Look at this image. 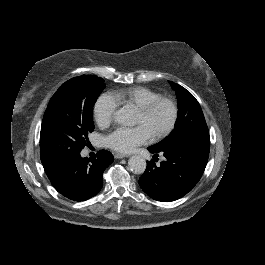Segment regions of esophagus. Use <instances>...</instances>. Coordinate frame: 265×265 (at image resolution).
Returning <instances> with one entry per match:
<instances>
[{"label":"esophagus","instance_id":"obj_1","mask_svg":"<svg viewBox=\"0 0 265 265\" xmlns=\"http://www.w3.org/2000/svg\"><path fill=\"white\" fill-rule=\"evenodd\" d=\"M114 157L117 158V159H122V158H126V157H128V155H126V154H121V153H116V154L114 155Z\"/></svg>","mask_w":265,"mask_h":265}]
</instances>
